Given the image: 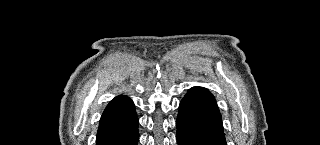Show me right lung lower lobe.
<instances>
[{
    "mask_svg": "<svg viewBox=\"0 0 320 145\" xmlns=\"http://www.w3.org/2000/svg\"><path fill=\"white\" fill-rule=\"evenodd\" d=\"M138 117L133 101L117 96L105 108L99 123L96 145H137Z\"/></svg>",
    "mask_w": 320,
    "mask_h": 145,
    "instance_id": "obj_1",
    "label": "right lung lower lobe"
}]
</instances>
